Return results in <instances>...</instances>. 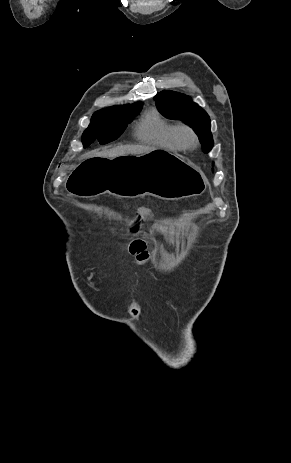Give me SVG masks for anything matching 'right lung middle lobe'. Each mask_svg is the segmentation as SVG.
<instances>
[{"instance_id": "right-lung-middle-lobe-1", "label": "right lung middle lobe", "mask_w": 291, "mask_h": 463, "mask_svg": "<svg viewBox=\"0 0 291 463\" xmlns=\"http://www.w3.org/2000/svg\"><path fill=\"white\" fill-rule=\"evenodd\" d=\"M141 108L142 104H139L127 109H102L95 112L82 135L84 148L95 140L106 144L118 138Z\"/></svg>"}]
</instances>
